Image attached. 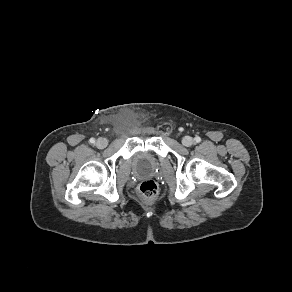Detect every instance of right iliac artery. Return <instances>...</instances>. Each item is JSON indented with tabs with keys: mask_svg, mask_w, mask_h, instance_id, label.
<instances>
[{
	"mask_svg": "<svg viewBox=\"0 0 292 292\" xmlns=\"http://www.w3.org/2000/svg\"><path fill=\"white\" fill-rule=\"evenodd\" d=\"M89 142H90L91 144H93V143H95V139H94V138H91V139L89 140Z\"/></svg>",
	"mask_w": 292,
	"mask_h": 292,
	"instance_id": "1",
	"label": "right iliac artery"
}]
</instances>
